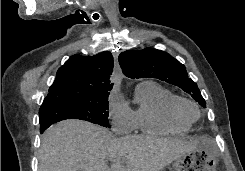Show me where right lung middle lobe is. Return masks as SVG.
<instances>
[{"mask_svg":"<svg viewBox=\"0 0 245 171\" xmlns=\"http://www.w3.org/2000/svg\"><path fill=\"white\" fill-rule=\"evenodd\" d=\"M108 115V94L92 99L48 101L39 110L40 125L75 118L109 127Z\"/></svg>","mask_w":245,"mask_h":171,"instance_id":"dd1d6c3e","label":"right lung middle lobe"}]
</instances>
